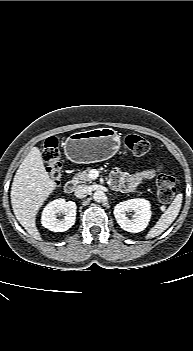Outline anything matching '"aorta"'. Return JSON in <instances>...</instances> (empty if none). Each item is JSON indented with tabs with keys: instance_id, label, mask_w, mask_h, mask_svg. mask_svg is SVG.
Listing matches in <instances>:
<instances>
[{
	"instance_id": "762f6f07",
	"label": "aorta",
	"mask_w": 193,
	"mask_h": 351,
	"mask_svg": "<svg viewBox=\"0 0 193 351\" xmlns=\"http://www.w3.org/2000/svg\"><path fill=\"white\" fill-rule=\"evenodd\" d=\"M93 199L96 202H103L106 199V195L103 191H95L93 194Z\"/></svg>"
}]
</instances>
